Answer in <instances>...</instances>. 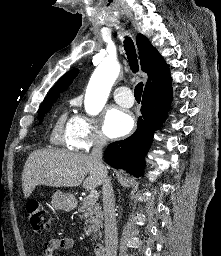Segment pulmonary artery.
<instances>
[{
  "instance_id": "obj_1",
  "label": "pulmonary artery",
  "mask_w": 221,
  "mask_h": 256,
  "mask_svg": "<svg viewBox=\"0 0 221 256\" xmlns=\"http://www.w3.org/2000/svg\"><path fill=\"white\" fill-rule=\"evenodd\" d=\"M115 101L122 107L129 108L134 103L131 90L126 86L117 87L113 92Z\"/></svg>"
}]
</instances>
